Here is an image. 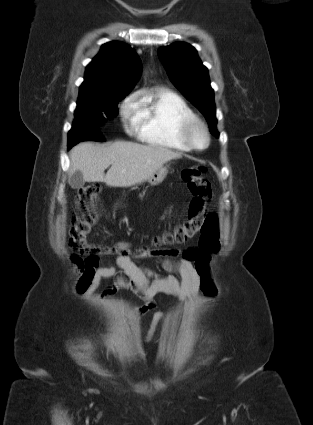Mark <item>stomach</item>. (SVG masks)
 <instances>
[{
    "mask_svg": "<svg viewBox=\"0 0 313 425\" xmlns=\"http://www.w3.org/2000/svg\"><path fill=\"white\" fill-rule=\"evenodd\" d=\"M168 173V166L160 167L156 172L147 178V181L150 185L155 186L160 184L166 177Z\"/></svg>",
    "mask_w": 313,
    "mask_h": 425,
    "instance_id": "obj_1",
    "label": "stomach"
}]
</instances>
